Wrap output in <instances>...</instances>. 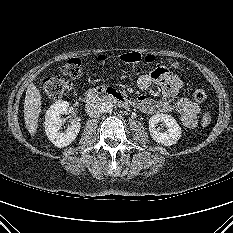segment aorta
<instances>
[{
    "label": "aorta",
    "instance_id": "aorta-1",
    "mask_svg": "<svg viewBox=\"0 0 233 233\" xmlns=\"http://www.w3.org/2000/svg\"><path fill=\"white\" fill-rule=\"evenodd\" d=\"M112 109H113L112 102H104V107H103L104 112L109 113L112 111Z\"/></svg>",
    "mask_w": 233,
    "mask_h": 233
}]
</instances>
